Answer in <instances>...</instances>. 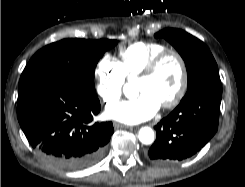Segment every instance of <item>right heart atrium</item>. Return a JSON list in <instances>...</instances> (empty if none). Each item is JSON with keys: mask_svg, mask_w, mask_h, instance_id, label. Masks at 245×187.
<instances>
[{"mask_svg": "<svg viewBox=\"0 0 245 187\" xmlns=\"http://www.w3.org/2000/svg\"><path fill=\"white\" fill-rule=\"evenodd\" d=\"M96 92L105 104L116 103L122 96L125 76L119 63L110 55L102 56L95 67Z\"/></svg>", "mask_w": 245, "mask_h": 187, "instance_id": "right-heart-atrium-1", "label": "right heart atrium"}]
</instances>
